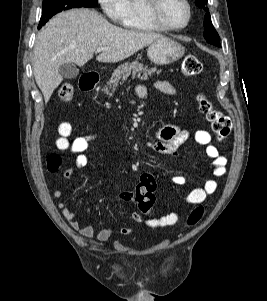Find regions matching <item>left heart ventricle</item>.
<instances>
[{
  "label": "left heart ventricle",
  "instance_id": "1",
  "mask_svg": "<svg viewBox=\"0 0 267 301\" xmlns=\"http://www.w3.org/2000/svg\"><path fill=\"white\" fill-rule=\"evenodd\" d=\"M161 12L163 18L172 25H182L187 17L182 0H164Z\"/></svg>",
  "mask_w": 267,
  "mask_h": 301
}]
</instances>
